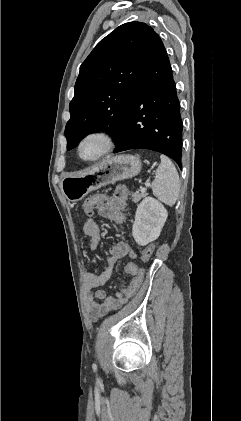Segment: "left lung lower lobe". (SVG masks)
Listing matches in <instances>:
<instances>
[{"label":"left lung lower lobe","mask_w":241,"mask_h":421,"mask_svg":"<svg viewBox=\"0 0 241 421\" xmlns=\"http://www.w3.org/2000/svg\"><path fill=\"white\" fill-rule=\"evenodd\" d=\"M182 128L172 69L158 38L138 81L126 128L114 153L149 149L171 157L181 168Z\"/></svg>","instance_id":"1"}]
</instances>
